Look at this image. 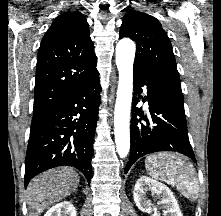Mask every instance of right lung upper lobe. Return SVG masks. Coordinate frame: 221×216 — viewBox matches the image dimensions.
I'll return each mask as SVG.
<instances>
[{"mask_svg": "<svg viewBox=\"0 0 221 216\" xmlns=\"http://www.w3.org/2000/svg\"><path fill=\"white\" fill-rule=\"evenodd\" d=\"M96 63L85 17L79 12L58 16L39 48L33 115L96 78Z\"/></svg>", "mask_w": 221, "mask_h": 216, "instance_id": "cb5924a9", "label": "right lung upper lobe"}]
</instances>
